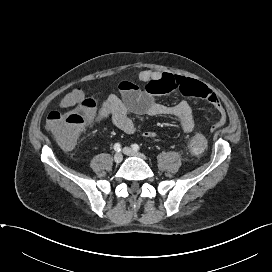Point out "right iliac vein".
Instances as JSON below:
<instances>
[{
	"label": "right iliac vein",
	"instance_id": "1",
	"mask_svg": "<svg viewBox=\"0 0 272 272\" xmlns=\"http://www.w3.org/2000/svg\"><path fill=\"white\" fill-rule=\"evenodd\" d=\"M123 160V155L121 153H116L114 155V161L115 163H120Z\"/></svg>",
	"mask_w": 272,
	"mask_h": 272
}]
</instances>
